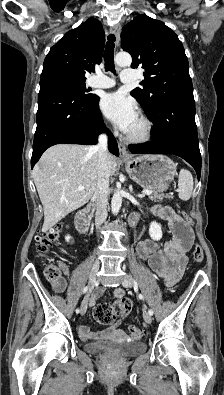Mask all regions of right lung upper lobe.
Wrapping results in <instances>:
<instances>
[{
  "instance_id": "obj_1",
  "label": "right lung upper lobe",
  "mask_w": 224,
  "mask_h": 395,
  "mask_svg": "<svg viewBox=\"0 0 224 395\" xmlns=\"http://www.w3.org/2000/svg\"><path fill=\"white\" fill-rule=\"evenodd\" d=\"M104 44L105 33L101 22L89 18L51 47L44 60L42 74L60 71L86 79L85 73L93 71L95 64L102 61Z\"/></svg>"
}]
</instances>
